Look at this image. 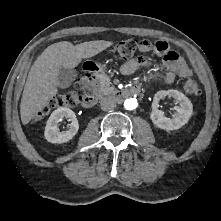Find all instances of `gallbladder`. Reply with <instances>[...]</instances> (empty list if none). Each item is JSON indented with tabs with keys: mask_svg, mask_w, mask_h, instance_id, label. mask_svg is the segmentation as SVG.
I'll use <instances>...</instances> for the list:
<instances>
[{
	"mask_svg": "<svg viewBox=\"0 0 221 221\" xmlns=\"http://www.w3.org/2000/svg\"><path fill=\"white\" fill-rule=\"evenodd\" d=\"M77 72L74 69H68L63 66L59 68L57 86L67 88L76 79Z\"/></svg>",
	"mask_w": 221,
	"mask_h": 221,
	"instance_id": "bac80fb5",
	"label": "gallbladder"
}]
</instances>
